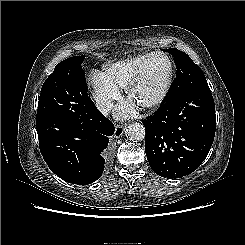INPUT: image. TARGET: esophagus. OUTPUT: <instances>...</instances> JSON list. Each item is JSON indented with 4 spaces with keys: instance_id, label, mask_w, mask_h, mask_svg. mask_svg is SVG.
<instances>
[{
    "instance_id": "34e87169",
    "label": "esophagus",
    "mask_w": 245,
    "mask_h": 245,
    "mask_svg": "<svg viewBox=\"0 0 245 245\" xmlns=\"http://www.w3.org/2000/svg\"><path fill=\"white\" fill-rule=\"evenodd\" d=\"M124 130H125V126L124 125H117L115 127L114 137L115 138L121 137L123 135V133H124Z\"/></svg>"
}]
</instances>
